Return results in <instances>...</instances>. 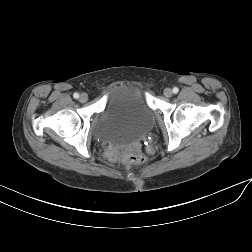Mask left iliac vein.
<instances>
[{"label":"left iliac vein","mask_w":252,"mask_h":252,"mask_svg":"<svg viewBox=\"0 0 252 252\" xmlns=\"http://www.w3.org/2000/svg\"><path fill=\"white\" fill-rule=\"evenodd\" d=\"M163 93L166 97H171L173 94V91L170 88H165Z\"/></svg>","instance_id":"obj_1"}]
</instances>
